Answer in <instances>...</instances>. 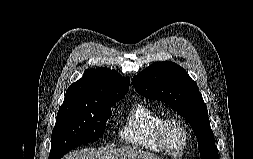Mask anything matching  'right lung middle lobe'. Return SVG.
<instances>
[{
    "label": "right lung middle lobe",
    "mask_w": 253,
    "mask_h": 159,
    "mask_svg": "<svg viewBox=\"0 0 253 159\" xmlns=\"http://www.w3.org/2000/svg\"><path fill=\"white\" fill-rule=\"evenodd\" d=\"M120 98L66 100L59 108L52 132L49 159H60L71 149L103 136L111 107Z\"/></svg>",
    "instance_id": "1"
}]
</instances>
